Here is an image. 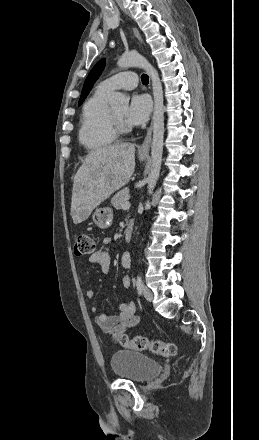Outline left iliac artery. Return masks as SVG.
<instances>
[{"mask_svg":"<svg viewBox=\"0 0 259 440\" xmlns=\"http://www.w3.org/2000/svg\"><path fill=\"white\" fill-rule=\"evenodd\" d=\"M136 287H137L138 293L141 294L142 288H143V282H142V278L140 275L137 276Z\"/></svg>","mask_w":259,"mask_h":440,"instance_id":"obj_1","label":"left iliac artery"}]
</instances>
